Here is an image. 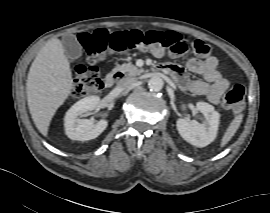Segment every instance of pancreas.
<instances>
[{
	"label": "pancreas",
	"mask_w": 270,
	"mask_h": 213,
	"mask_svg": "<svg viewBox=\"0 0 270 213\" xmlns=\"http://www.w3.org/2000/svg\"><path fill=\"white\" fill-rule=\"evenodd\" d=\"M115 71H120L121 73L128 76H137L144 72L143 69H138L137 66L133 65L130 62L117 66L115 68Z\"/></svg>",
	"instance_id": "cf45deb5"
}]
</instances>
